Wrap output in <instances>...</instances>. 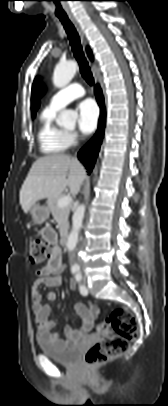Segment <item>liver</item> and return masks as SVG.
I'll return each mask as SVG.
<instances>
[{
  "instance_id": "liver-1",
  "label": "liver",
  "mask_w": 168,
  "mask_h": 406,
  "mask_svg": "<svg viewBox=\"0 0 168 406\" xmlns=\"http://www.w3.org/2000/svg\"><path fill=\"white\" fill-rule=\"evenodd\" d=\"M85 177L86 171L76 158L64 154L40 157L22 185L20 205L27 213L37 201L61 195L67 186L76 195Z\"/></svg>"
}]
</instances>
